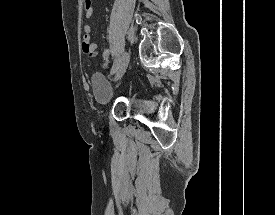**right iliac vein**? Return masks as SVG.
Masks as SVG:
<instances>
[{"label": "right iliac vein", "instance_id": "right-iliac-vein-1", "mask_svg": "<svg viewBox=\"0 0 275 215\" xmlns=\"http://www.w3.org/2000/svg\"><path fill=\"white\" fill-rule=\"evenodd\" d=\"M128 63H129V55L127 52H125L123 54V56L121 57V59L119 60V65L114 72L115 73V81L122 78V76L124 75V73L128 67Z\"/></svg>", "mask_w": 275, "mask_h": 215}]
</instances>
